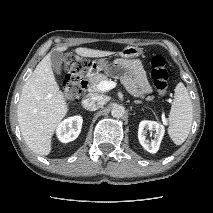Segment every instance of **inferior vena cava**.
Instances as JSON below:
<instances>
[{"instance_id": "obj_1", "label": "inferior vena cava", "mask_w": 213, "mask_h": 213, "mask_svg": "<svg viewBox=\"0 0 213 213\" xmlns=\"http://www.w3.org/2000/svg\"><path fill=\"white\" fill-rule=\"evenodd\" d=\"M107 102V98L102 95L88 94L82 100V106L90 111H95L101 108Z\"/></svg>"}]
</instances>
